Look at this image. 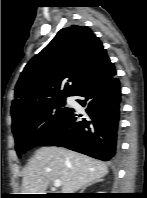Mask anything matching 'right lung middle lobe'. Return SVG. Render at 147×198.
Instances as JSON below:
<instances>
[{"mask_svg":"<svg viewBox=\"0 0 147 198\" xmlns=\"http://www.w3.org/2000/svg\"><path fill=\"white\" fill-rule=\"evenodd\" d=\"M72 108L65 107V98L45 104L12 124L17 155L20 157L52 135L65 121Z\"/></svg>","mask_w":147,"mask_h":198,"instance_id":"obj_1","label":"right lung middle lobe"}]
</instances>
